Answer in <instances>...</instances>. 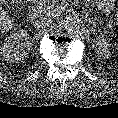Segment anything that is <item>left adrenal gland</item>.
I'll return each mask as SVG.
<instances>
[{
    "instance_id": "obj_1",
    "label": "left adrenal gland",
    "mask_w": 118,
    "mask_h": 118,
    "mask_svg": "<svg viewBox=\"0 0 118 118\" xmlns=\"http://www.w3.org/2000/svg\"><path fill=\"white\" fill-rule=\"evenodd\" d=\"M93 29L96 30V28H95V24H94V23H93Z\"/></svg>"
}]
</instances>
